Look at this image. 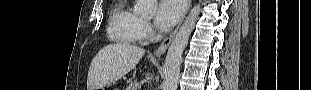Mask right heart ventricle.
I'll use <instances>...</instances> for the list:
<instances>
[{
  "label": "right heart ventricle",
  "instance_id": "e07e8e85",
  "mask_svg": "<svg viewBox=\"0 0 311 90\" xmlns=\"http://www.w3.org/2000/svg\"><path fill=\"white\" fill-rule=\"evenodd\" d=\"M140 17L126 4L117 5L111 13L107 33L117 42L134 44L141 39L138 23Z\"/></svg>",
  "mask_w": 311,
  "mask_h": 90
}]
</instances>
